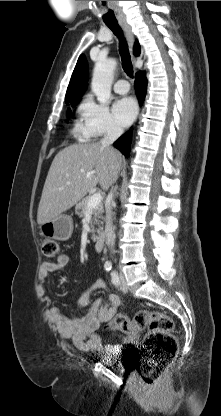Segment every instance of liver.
<instances>
[{
    "mask_svg": "<svg viewBox=\"0 0 221 416\" xmlns=\"http://www.w3.org/2000/svg\"><path fill=\"white\" fill-rule=\"evenodd\" d=\"M121 164V153L99 142L73 144L59 151L46 177L37 223L41 225L61 215L97 184L107 191L117 180Z\"/></svg>",
    "mask_w": 221,
    "mask_h": 416,
    "instance_id": "6515ba94",
    "label": "liver"
}]
</instances>
